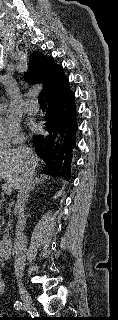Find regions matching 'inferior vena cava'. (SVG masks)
<instances>
[{
	"label": "inferior vena cava",
	"mask_w": 118,
	"mask_h": 320,
	"mask_svg": "<svg viewBox=\"0 0 118 320\" xmlns=\"http://www.w3.org/2000/svg\"><path fill=\"white\" fill-rule=\"evenodd\" d=\"M18 148V151L22 158L26 161L25 172L22 175L21 181L18 186L17 201L14 207V213L18 217L16 225V237H15V260L14 269L15 276L18 279L23 277L26 261V250H27V238L24 234L26 226V219L24 217V209L29 198V192L32 186V172L30 168L31 160L33 158V150L23 144Z\"/></svg>",
	"instance_id": "obj_1"
}]
</instances>
